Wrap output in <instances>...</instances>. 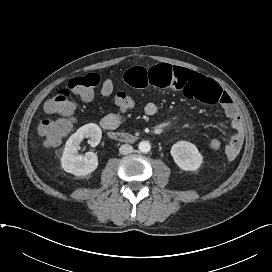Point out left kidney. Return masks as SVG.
<instances>
[{
	"label": "left kidney",
	"mask_w": 272,
	"mask_h": 272,
	"mask_svg": "<svg viewBox=\"0 0 272 272\" xmlns=\"http://www.w3.org/2000/svg\"><path fill=\"white\" fill-rule=\"evenodd\" d=\"M175 163L184 171H196L203 162V156L197 147L187 141H178L170 151Z\"/></svg>",
	"instance_id": "1"
}]
</instances>
